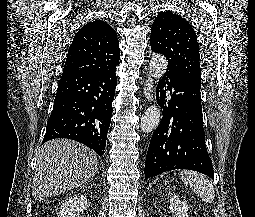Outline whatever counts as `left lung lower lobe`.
<instances>
[{
    "instance_id": "obj_1",
    "label": "left lung lower lobe",
    "mask_w": 255,
    "mask_h": 217,
    "mask_svg": "<svg viewBox=\"0 0 255 217\" xmlns=\"http://www.w3.org/2000/svg\"><path fill=\"white\" fill-rule=\"evenodd\" d=\"M200 88L169 70L158 83L156 99L163 116L150 141L145 179L175 169L193 170L213 178L212 161L205 145Z\"/></svg>"
}]
</instances>
